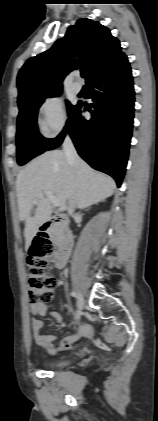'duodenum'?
I'll return each mask as SVG.
<instances>
[{
  "instance_id": "obj_1",
  "label": "duodenum",
  "mask_w": 158,
  "mask_h": 421,
  "mask_svg": "<svg viewBox=\"0 0 158 421\" xmlns=\"http://www.w3.org/2000/svg\"><path fill=\"white\" fill-rule=\"evenodd\" d=\"M57 227L61 230V240L59 251L55 258L56 268H62L67 263L73 248V235L67 227L66 220L61 216H54L46 220L40 227L42 235H46L48 231Z\"/></svg>"
}]
</instances>
